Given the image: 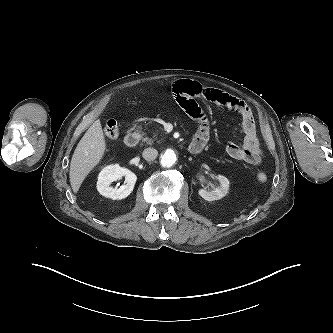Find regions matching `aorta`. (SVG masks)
<instances>
[{
  "mask_svg": "<svg viewBox=\"0 0 333 333\" xmlns=\"http://www.w3.org/2000/svg\"><path fill=\"white\" fill-rule=\"evenodd\" d=\"M176 160H177V156H176L175 151L172 149H167L161 155L160 163L163 167H171L175 164Z\"/></svg>",
  "mask_w": 333,
  "mask_h": 333,
  "instance_id": "obj_1",
  "label": "aorta"
}]
</instances>
